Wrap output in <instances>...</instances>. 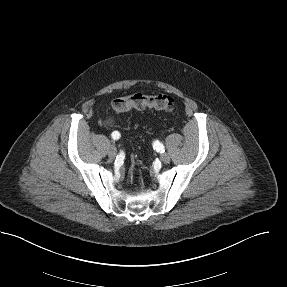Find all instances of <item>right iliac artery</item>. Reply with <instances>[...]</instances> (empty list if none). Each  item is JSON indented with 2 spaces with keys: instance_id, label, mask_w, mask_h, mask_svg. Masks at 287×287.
<instances>
[{
  "instance_id": "right-iliac-artery-1",
  "label": "right iliac artery",
  "mask_w": 287,
  "mask_h": 287,
  "mask_svg": "<svg viewBox=\"0 0 287 287\" xmlns=\"http://www.w3.org/2000/svg\"><path fill=\"white\" fill-rule=\"evenodd\" d=\"M112 138L115 139V140L119 139L120 138V133L118 131H114L112 133Z\"/></svg>"
}]
</instances>
